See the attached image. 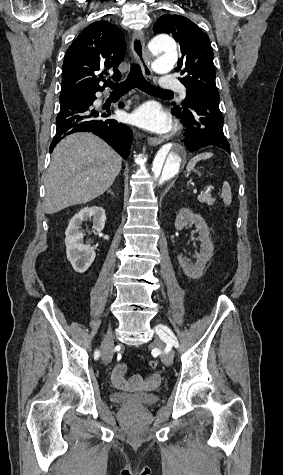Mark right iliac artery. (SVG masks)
I'll return each instance as SVG.
<instances>
[{
	"label": "right iliac artery",
	"instance_id": "right-iliac-artery-1",
	"mask_svg": "<svg viewBox=\"0 0 283 475\" xmlns=\"http://www.w3.org/2000/svg\"><path fill=\"white\" fill-rule=\"evenodd\" d=\"M98 356H99V352L96 351V352H95V359L98 358Z\"/></svg>",
	"mask_w": 283,
	"mask_h": 475
}]
</instances>
